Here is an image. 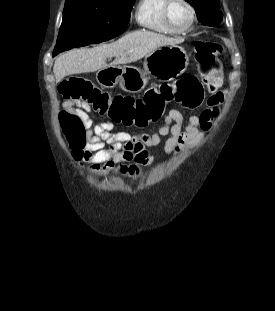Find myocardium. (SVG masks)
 Listing matches in <instances>:
<instances>
[{
  "label": "myocardium",
  "mask_w": 275,
  "mask_h": 311,
  "mask_svg": "<svg viewBox=\"0 0 275 311\" xmlns=\"http://www.w3.org/2000/svg\"><path fill=\"white\" fill-rule=\"evenodd\" d=\"M176 0H167L165 6H164V9H163V18H164V21L166 23V25L172 30L174 31L175 33H184V32H187L189 31L195 21H196V17H197V14H196V9L195 7L193 6V4L189 1V0H181L182 2H184L186 4V6L189 8L190 10V14H191V18H190V22L189 24L186 26V27H183V28H178L176 27L171 19H170V16H169V10H170V7L171 5L175 2Z\"/></svg>",
  "instance_id": "myocardium-1"
}]
</instances>
